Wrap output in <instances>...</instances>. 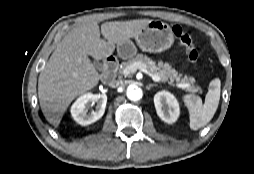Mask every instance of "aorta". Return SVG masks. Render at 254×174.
<instances>
[{
  "label": "aorta",
  "instance_id": "aorta-1",
  "mask_svg": "<svg viewBox=\"0 0 254 174\" xmlns=\"http://www.w3.org/2000/svg\"><path fill=\"white\" fill-rule=\"evenodd\" d=\"M126 95L131 101H138L142 98L143 92L141 88L136 85H130L127 88Z\"/></svg>",
  "mask_w": 254,
  "mask_h": 174
}]
</instances>
